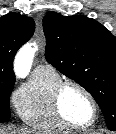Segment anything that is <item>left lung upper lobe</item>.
Wrapping results in <instances>:
<instances>
[{
    "instance_id": "left-lung-upper-lobe-1",
    "label": "left lung upper lobe",
    "mask_w": 116,
    "mask_h": 134,
    "mask_svg": "<svg viewBox=\"0 0 116 134\" xmlns=\"http://www.w3.org/2000/svg\"><path fill=\"white\" fill-rule=\"evenodd\" d=\"M45 57L65 76L85 88L116 130V37L86 16L49 12L43 18Z\"/></svg>"
}]
</instances>
